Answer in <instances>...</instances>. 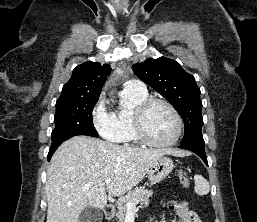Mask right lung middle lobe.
<instances>
[{
  "label": "right lung middle lobe",
  "instance_id": "1",
  "mask_svg": "<svg viewBox=\"0 0 257 222\" xmlns=\"http://www.w3.org/2000/svg\"><path fill=\"white\" fill-rule=\"evenodd\" d=\"M98 98L99 95L56 102L55 129L51 134V146L61 144L77 135L98 136L92 121V110Z\"/></svg>",
  "mask_w": 257,
  "mask_h": 222
}]
</instances>
